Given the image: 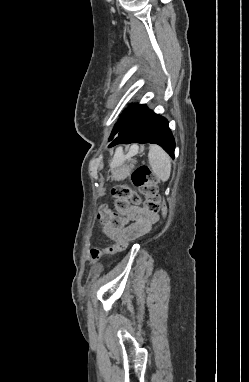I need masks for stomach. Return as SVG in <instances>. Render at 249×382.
<instances>
[{
	"label": "stomach",
	"mask_w": 249,
	"mask_h": 382,
	"mask_svg": "<svg viewBox=\"0 0 249 382\" xmlns=\"http://www.w3.org/2000/svg\"><path fill=\"white\" fill-rule=\"evenodd\" d=\"M114 160V158H113ZM111 162V179L120 181L130 175L134 165L133 163L125 164V159Z\"/></svg>",
	"instance_id": "0dacf381"
}]
</instances>
